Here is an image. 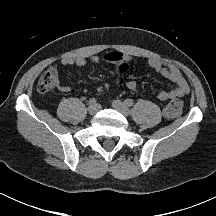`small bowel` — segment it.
Wrapping results in <instances>:
<instances>
[{
  "mask_svg": "<svg viewBox=\"0 0 216 216\" xmlns=\"http://www.w3.org/2000/svg\"><path fill=\"white\" fill-rule=\"evenodd\" d=\"M133 59V56L122 52V51H110L102 56H94L92 57V61L94 63L107 62L116 65H123L127 62H130ZM86 59L83 57H66L61 60V64L63 66H75V67H83L86 65ZM147 63L151 68H153L158 74L164 76L175 84V88L171 90H163L158 92L157 98L160 101H167L172 98H180L184 97L189 93V86L185 78L183 77L181 71L173 64L165 62L156 57L147 58ZM49 69H55V67H51ZM127 88L135 91L138 88V83L135 80H129L127 82ZM59 90L62 92L69 91V88L66 86H60Z\"/></svg>",
  "mask_w": 216,
  "mask_h": 216,
  "instance_id": "c3829d8e",
  "label": "small bowel"
}]
</instances>
